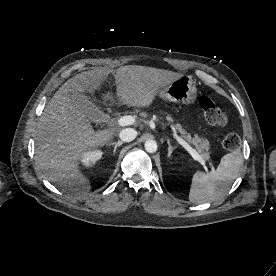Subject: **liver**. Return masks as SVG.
I'll return each mask as SVG.
<instances>
[{"mask_svg":"<svg viewBox=\"0 0 276 276\" xmlns=\"http://www.w3.org/2000/svg\"><path fill=\"white\" fill-rule=\"evenodd\" d=\"M112 73L118 100L132 107H147L155 96L181 74L152 67L127 65L117 70H91L67 80L46 105L37 124L35 158L45 177L61 188L77 194L90 190L79 161L91 148L102 147L114 130L94 131L88 117L71 101L70 93L99 90Z\"/></svg>","mask_w":276,"mask_h":276,"instance_id":"1","label":"liver"}]
</instances>
